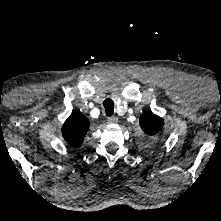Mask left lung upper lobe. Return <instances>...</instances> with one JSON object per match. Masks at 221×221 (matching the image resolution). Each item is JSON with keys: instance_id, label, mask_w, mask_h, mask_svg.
<instances>
[{"instance_id": "left-lung-upper-lobe-1", "label": "left lung upper lobe", "mask_w": 221, "mask_h": 221, "mask_svg": "<svg viewBox=\"0 0 221 221\" xmlns=\"http://www.w3.org/2000/svg\"><path fill=\"white\" fill-rule=\"evenodd\" d=\"M140 126L145 134L148 136L156 135L163 127L164 121L161 117L153 114L151 111H147L140 117ZM153 146L152 141L143 144V149L147 150Z\"/></svg>"}]
</instances>
